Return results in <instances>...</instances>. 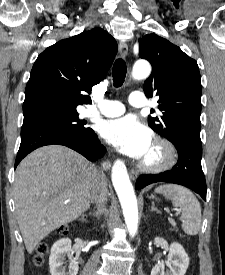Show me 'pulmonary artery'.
Listing matches in <instances>:
<instances>
[{
    "label": "pulmonary artery",
    "mask_w": 225,
    "mask_h": 275,
    "mask_svg": "<svg viewBox=\"0 0 225 275\" xmlns=\"http://www.w3.org/2000/svg\"><path fill=\"white\" fill-rule=\"evenodd\" d=\"M131 106L141 108L146 106V97L142 92H133L129 96ZM125 112V106L119 101L103 100L98 107H88L85 113L89 116L115 117Z\"/></svg>",
    "instance_id": "e3ab8cb5"
}]
</instances>
